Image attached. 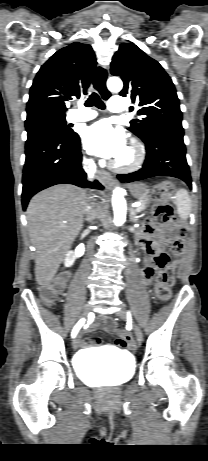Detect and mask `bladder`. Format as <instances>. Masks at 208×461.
<instances>
[{
	"label": "bladder",
	"instance_id": "31cf9c89",
	"mask_svg": "<svg viewBox=\"0 0 208 461\" xmlns=\"http://www.w3.org/2000/svg\"><path fill=\"white\" fill-rule=\"evenodd\" d=\"M102 358L96 354L82 353L74 362L78 376L93 386H119L131 379L134 361L122 353L102 351Z\"/></svg>",
	"mask_w": 208,
	"mask_h": 461
}]
</instances>
